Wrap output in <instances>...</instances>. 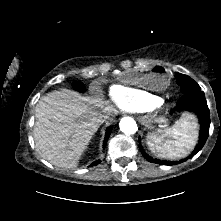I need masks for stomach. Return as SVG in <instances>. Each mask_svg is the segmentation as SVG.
<instances>
[{
	"label": "stomach",
	"instance_id": "obj_1",
	"mask_svg": "<svg viewBox=\"0 0 221 221\" xmlns=\"http://www.w3.org/2000/svg\"><path fill=\"white\" fill-rule=\"evenodd\" d=\"M168 69L163 64H155L151 69H129L124 79L129 84L140 85L148 90L164 91L169 86Z\"/></svg>",
	"mask_w": 221,
	"mask_h": 221
}]
</instances>
